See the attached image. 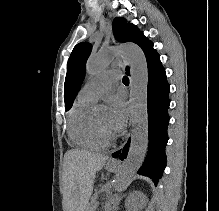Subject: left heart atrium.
I'll list each match as a JSON object with an SVG mask.
<instances>
[{
    "mask_svg": "<svg viewBox=\"0 0 219 211\" xmlns=\"http://www.w3.org/2000/svg\"><path fill=\"white\" fill-rule=\"evenodd\" d=\"M127 109L124 99L114 95L108 100V123L112 130L120 131L126 123Z\"/></svg>",
    "mask_w": 219,
    "mask_h": 211,
    "instance_id": "1",
    "label": "left heart atrium"
}]
</instances>
